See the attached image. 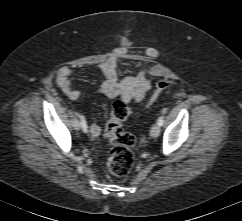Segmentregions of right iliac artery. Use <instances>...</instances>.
Returning <instances> with one entry per match:
<instances>
[{
  "label": "right iliac artery",
  "instance_id": "82829eb1",
  "mask_svg": "<svg viewBox=\"0 0 242 221\" xmlns=\"http://www.w3.org/2000/svg\"><path fill=\"white\" fill-rule=\"evenodd\" d=\"M78 117H79L80 120H81V127H82L83 131H84V132H87V128H88V127H87V123H86V120H85L84 116L78 114Z\"/></svg>",
  "mask_w": 242,
  "mask_h": 221
}]
</instances>
